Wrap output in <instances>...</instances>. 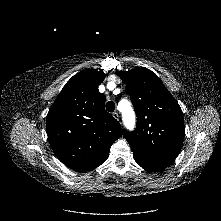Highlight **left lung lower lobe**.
Wrapping results in <instances>:
<instances>
[{"label":"left lung lower lobe","mask_w":221,"mask_h":221,"mask_svg":"<svg viewBox=\"0 0 221 221\" xmlns=\"http://www.w3.org/2000/svg\"><path fill=\"white\" fill-rule=\"evenodd\" d=\"M133 156L135 161L141 167L151 172L161 171L164 168H166L168 165H170L169 163L152 160L136 152H133Z\"/></svg>","instance_id":"0a47b994"}]
</instances>
